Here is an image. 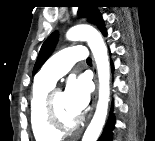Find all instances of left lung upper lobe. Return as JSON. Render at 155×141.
Here are the masks:
<instances>
[{
    "label": "left lung upper lobe",
    "mask_w": 155,
    "mask_h": 141,
    "mask_svg": "<svg viewBox=\"0 0 155 141\" xmlns=\"http://www.w3.org/2000/svg\"><path fill=\"white\" fill-rule=\"evenodd\" d=\"M96 6H94L92 3H83L78 10L79 16H87L90 21H93L98 25L101 32L105 35L106 29L103 25V19L101 14L96 10ZM58 40V32H53L43 43L39 55L37 57V61L34 65L33 73H35L41 65L46 61V59L50 56L52 53L56 43Z\"/></svg>",
    "instance_id": "obj_1"
}]
</instances>
